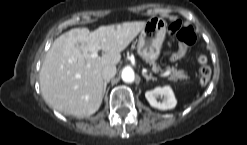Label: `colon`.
Returning a JSON list of instances; mask_svg holds the SVG:
<instances>
[{
  "instance_id": "1",
  "label": "colon",
  "mask_w": 247,
  "mask_h": 145,
  "mask_svg": "<svg viewBox=\"0 0 247 145\" xmlns=\"http://www.w3.org/2000/svg\"><path fill=\"white\" fill-rule=\"evenodd\" d=\"M169 34L173 36L182 47L193 45L197 41L193 27L183 26L180 20H175L169 25ZM197 60L201 65L200 83L205 85L211 77V68L208 65V59L205 55H199Z\"/></svg>"
}]
</instances>
